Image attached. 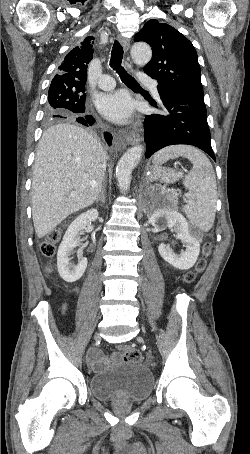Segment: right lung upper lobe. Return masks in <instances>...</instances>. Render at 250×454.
Returning a JSON list of instances; mask_svg holds the SVG:
<instances>
[{"label":"right lung upper lobe","mask_w":250,"mask_h":454,"mask_svg":"<svg viewBox=\"0 0 250 454\" xmlns=\"http://www.w3.org/2000/svg\"><path fill=\"white\" fill-rule=\"evenodd\" d=\"M93 39L92 36L87 37L65 56L50 86L66 88L85 86L88 63L92 60L94 53Z\"/></svg>","instance_id":"obj_1"}]
</instances>
